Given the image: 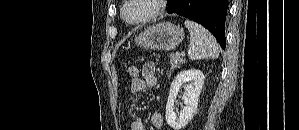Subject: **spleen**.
Masks as SVG:
<instances>
[{
  "mask_svg": "<svg viewBox=\"0 0 299 130\" xmlns=\"http://www.w3.org/2000/svg\"><path fill=\"white\" fill-rule=\"evenodd\" d=\"M185 26L190 32L191 45L188 48V57L191 60L218 58L219 45L214 36L200 24L185 20Z\"/></svg>",
  "mask_w": 299,
  "mask_h": 130,
  "instance_id": "3e777b00",
  "label": "spleen"
}]
</instances>
